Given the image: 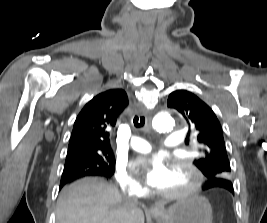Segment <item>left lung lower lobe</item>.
<instances>
[{"label": "left lung lower lobe", "instance_id": "1", "mask_svg": "<svg viewBox=\"0 0 267 223\" xmlns=\"http://www.w3.org/2000/svg\"><path fill=\"white\" fill-rule=\"evenodd\" d=\"M216 195H233L234 189L229 180H212L201 187V192H215Z\"/></svg>", "mask_w": 267, "mask_h": 223}]
</instances>
